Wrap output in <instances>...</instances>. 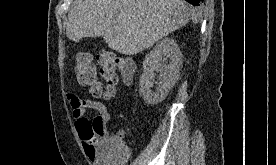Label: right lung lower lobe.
Masks as SVG:
<instances>
[{
    "mask_svg": "<svg viewBox=\"0 0 276 165\" xmlns=\"http://www.w3.org/2000/svg\"><path fill=\"white\" fill-rule=\"evenodd\" d=\"M187 2L191 3L194 6H199L203 0H186Z\"/></svg>",
    "mask_w": 276,
    "mask_h": 165,
    "instance_id": "right-lung-lower-lobe-1",
    "label": "right lung lower lobe"
}]
</instances>
